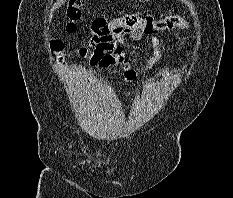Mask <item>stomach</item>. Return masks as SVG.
Instances as JSON below:
<instances>
[{
	"label": "stomach",
	"instance_id": "1",
	"mask_svg": "<svg viewBox=\"0 0 233 198\" xmlns=\"http://www.w3.org/2000/svg\"><path fill=\"white\" fill-rule=\"evenodd\" d=\"M140 2H148L149 0H139Z\"/></svg>",
	"mask_w": 233,
	"mask_h": 198
}]
</instances>
